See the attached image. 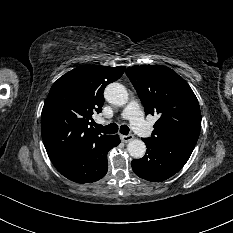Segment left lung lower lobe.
I'll list each match as a JSON object with an SVG mask.
<instances>
[{"label": "left lung lower lobe", "mask_w": 233, "mask_h": 233, "mask_svg": "<svg viewBox=\"0 0 233 233\" xmlns=\"http://www.w3.org/2000/svg\"><path fill=\"white\" fill-rule=\"evenodd\" d=\"M146 154L131 162L137 176L151 182L164 181L177 173L188 161L193 149L153 143L144 138Z\"/></svg>", "instance_id": "left-lung-lower-lobe-1"}]
</instances>
